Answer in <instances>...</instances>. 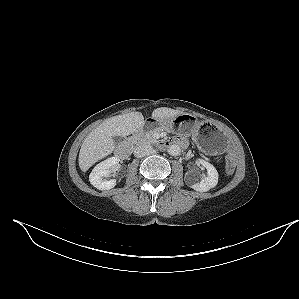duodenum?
Returning <instances> with one entry per match:
<instances>
[{"label":"duodenum","instance_id":"duodenum-1","mask_svg":"<svg viewBox=\"0 0 299 299\" xmlns=\"http://www.w3.org/2000/svg\"><path fill=\"white\" fill-rule=\"evenodd\" d=\"M180 145L183 146L185 144L184 140L179 139V138H175L172 140H163L159 143V146L164 148V147H169L171 145ZM132 150V145L130 142H124L121 145H119V147L116 150V154L120 157V158H127Z\"/></svg>","mask_w":299,"mask_h":299}]
</instances>
